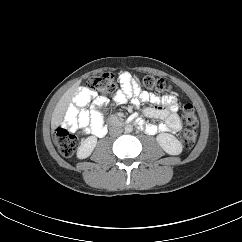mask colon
Returning a JSON list of instances; mask_svg holds the SVG:
<instances>
[{"mask_svg": "<svg viewBox=\"0 0 242 242\" xmlns=\"http://www.w3.org/2000/svg\"><path fill=\"white\" fill-rule=\"evenodd\" d=\"M143 82L148 90L157 93H168L170 91V85L163 79L148 76L144 78ZM87 86L94 93L112 95L116 91L117 81L114 74L106 72L91 79ZM181 121L183 124L182 144L185 148H191L195 143L198 127L197 115L191 104L184 105L181 112ZM55 142L59 152L65 157L72 156L78 146V138L63 126L56 129Z\"/></svg>", "mask_w": 242, "mask_h": 242, "instance_id": "5ec220e1", "label": "colon"}]
</instances>
